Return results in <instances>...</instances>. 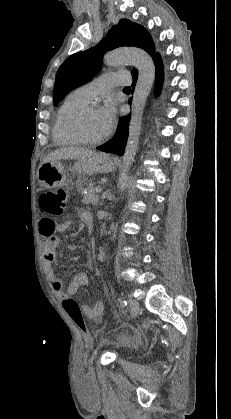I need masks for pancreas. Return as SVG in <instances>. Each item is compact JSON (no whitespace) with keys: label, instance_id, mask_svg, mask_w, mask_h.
Instances as JSON below:
<instances>
[{"label":"pancreas","instance_id":"pancreas-1","mask_svg":"<svg viewBox=\"0 0 231 419\" xmlns=\"http://www.w3.org/2000/svg\"><path fill=\"white\" fill-rule=\"evenodd\" d=\"M99 201V196L96 194L95 189L88 188L86 193L83 194L82 203L84 204H93L97 205Z\"/></svg>","mask_w":231,"mask_h":419}]
</instances>
